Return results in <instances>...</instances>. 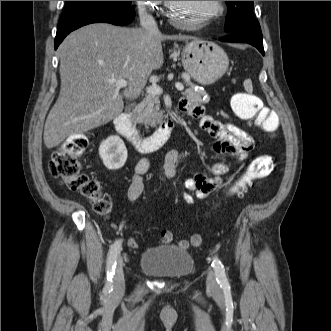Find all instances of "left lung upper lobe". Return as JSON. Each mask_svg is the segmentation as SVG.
Here are the masks:
<instances>
[{
	"label": "left lung upper lobe",
	"instance_id": "5c2ea615",
	"mask_svg": "<svg viewBox=\"0 0 331 331\" xmlns=\"http://www.w3.org/2000/svg\"><path fill=\"white\" fill-rule=\"evenodd\" d=\"M228 6L225 31L259 29L260 25L253 15V1H225Z\"/></svg>",
	"mask_w": 331,
	"mask_h": 331
}]
</instances>
